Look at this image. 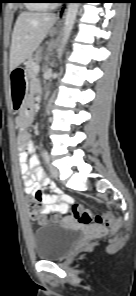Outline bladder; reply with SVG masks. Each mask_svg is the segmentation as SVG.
Masks as SVG:
<instances>
[{"label": "bladder", "instance_id": "bladder-1", "mask_svg": "<svg viewBox=\"0 0 136 296\" xmlns=\"http://www.w3.org/2000/svg\"><path fill=\"white\" fill-rule=\"evenodd\" d=\"M34 253L39 260H58L77 242V229L63 224L45 225L33 233Z\"/></svg>", "mask_w": 136, "mask_h": 296}]
</instances>
